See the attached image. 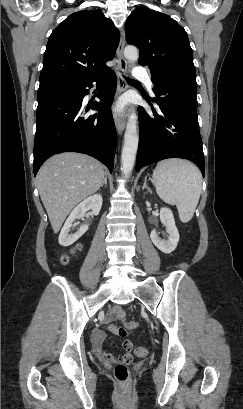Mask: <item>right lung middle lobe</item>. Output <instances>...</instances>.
I'll list each match as a JSON object with an SVG mask.
<instances>
[{
  "label": "right lung middle lobe",
  "mask_w": 243,
  "mask_h": 409,
  "mask_svg": "<svg viewBox=\"0 0 243 409\" xmlns=\"http://www.w3.org/2000/svg\"><path fill=\"white\" fill-rule=\"evenodd\" d=\"M76 84H77L76 82H73L71 80L64 79V78L41 79L38 93L46 91V90L54 89V88L67 87V86H72Z\"/></svg>",
  "instance_id": "dd1d6c3e"
}]
</instances>
